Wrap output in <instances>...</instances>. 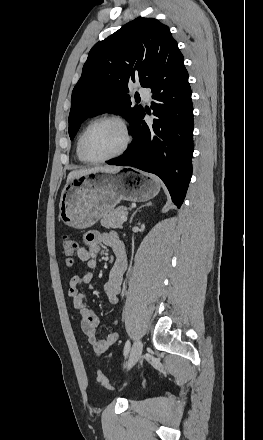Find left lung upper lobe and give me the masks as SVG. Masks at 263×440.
<instances>
[{
	"label": "left lung upper lobe",
	"mask_w": 263,
	"mask_h": 440,
	"mask_svg": "<svg viewBox=\"0 0 263 440\" xmlns=\"http://www.w3.org/2000/svg\"><path fill=\"white\" fill-rule=\"evenodd\" d=\"M177 47L168 26L142 17L96 43L72 92L70 138L88 117L105 112L121 114L132 125L143 108L132 106L128 83L139 80L147 87Z\"/></svg>",
	"instance_id": "obj_1"
}]
</instances>
